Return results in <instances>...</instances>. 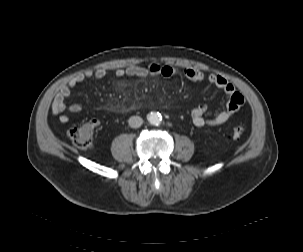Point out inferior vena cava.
Listing matches in <instances>:
<instances>
[{"instance_id":"inferior-vena-cava-1","label":"inferior vena cava","mask_w":303,"mask_h":252,"mask_svg":"<svg viewBox=\"0 0 303 252\" xmlns=\"http://www.w3.org/2000/svg\"><path fill=\"white\" fill-rule=\"evenodd\" d=\"M129 126L132 128H138L142 125L143 119L139 116H131L128 120Z\"/></svg>"}]
</instances>
